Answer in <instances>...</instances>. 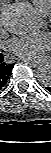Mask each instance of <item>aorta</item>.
I'll use <instances>...</instances> for the list:
<instances>
[{"mask_svg":"<svg viewBox=\"0 0 51 153\" xmlns=\"http://www.w3.org/2000/svg\"><path fill=\"white\" fill-rule=\"evenodd\" d=\"M4 25L14 34L28 35L39 28V16L35 8L27 1H18L4 13ZM37 80L45 85L51 84V66L45 64L36 71Z\"/></svg>","mask_w":51,"mask_h":153,"instance_id":"aorta-1","label":"aorta"}]
</instances>
